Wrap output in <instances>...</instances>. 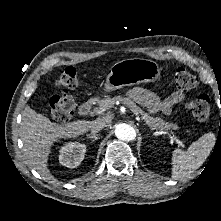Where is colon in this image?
Listing matches in <instances>:
<instances>
[{
  "instance_id": "colon-1",
  "label": "colon",
  "mask_w": 221,
  "mask_h": 221,
  "mask_svg": "<svg viewBox=\"0 0 221 221\" xmlns=\"http://www.w3.org/2000/svg\"><path fill=\"white\" fill-rule=\"evenodd\" d=\"M173 83L179 91L184 92L193 89L197 85V79L188 71L178 69L173 75ZM55 84L63 91L53 94L50 98L51 116L57 122L64 123L71 118L76 108L74 98L67 93V89L76 88L79 84L76 69L71 66L66 67ZM185 107L197 120H205L210 113V99L206 95H200L188 101Z\"/></svg>"
}]
</instances>
